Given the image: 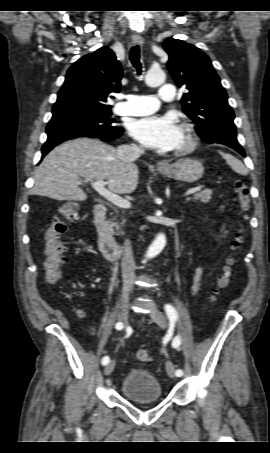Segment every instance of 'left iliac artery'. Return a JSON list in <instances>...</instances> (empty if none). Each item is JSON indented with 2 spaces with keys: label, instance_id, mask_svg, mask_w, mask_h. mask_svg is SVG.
<instances>
[{
  "label": "left iliac artery",
  "instance_id": "1",
  "mask_svg": "<svg viewBox=\"0 0 270 453\" xmlns=\"http://www.w3.org/2000/svg\"><path fill=\"white\" fill-rule=\"evenodd\" d=\"M165 311H166V314L171 323H173L174 321L177 320L178 314H177L176 310L174 309V307L167 304V305H165ZM180 343H181L180 337L176 336L172 341V346L174 348H177L180 346ZM175 374L180 377L183 375V371L181 369H178V370H176Z\"/></svg>",
  "mask_w": 270,
  "mask_h": 453
}]
</instances>
